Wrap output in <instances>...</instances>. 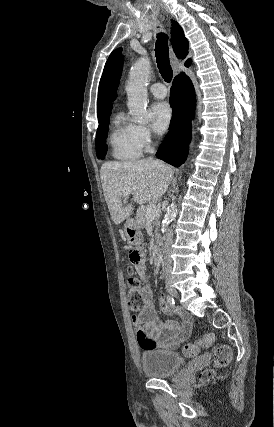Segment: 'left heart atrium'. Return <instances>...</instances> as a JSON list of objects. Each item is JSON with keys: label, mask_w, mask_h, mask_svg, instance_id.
<instances>
[{"label": "left heart atrium", "mask_w": 274, "mask_h": 427, "mask_svg": "<svg viewBox=\"0 0 274 427\" xmlns=\"http://www.w3.org/2000/svg\"><path fill=\"white\" fill-rule=\"evenodd\" d=\"M152 128L162 134L168 128L172 119V110L167 102H157L152 107Z\"/></svg>", "instance_id": "left-heart-atrium-1"}]
</instances>
